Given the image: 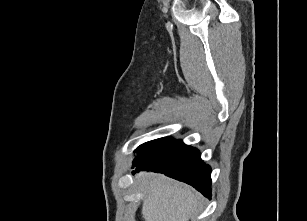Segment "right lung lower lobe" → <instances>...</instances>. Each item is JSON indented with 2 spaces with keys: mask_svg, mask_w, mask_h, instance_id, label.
Listing matches in <instances>:
<instances>
[{
  "mask_svg": "<svg viewBox=\"0 0 307 221\" xmlns=\"http://www.w3.org/2000/svg\"><path fill=\"white\" fill-rule=\"evenodd\" d=\"M133 164L141 170L163 173L183 181L208 198L212 196L210 166L204 164L199 150L187 146L181 140L137 152Z\"/></svg>",
  "mask_w": 307,
  "mask_h": 221,
  "instance_id": "obj_1",
  "label": "right lung lower lobe"
}]
</instances>
